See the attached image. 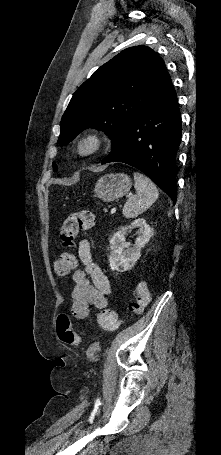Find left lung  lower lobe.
<instances>
[{"label":"left lung lower lobe","mask_w":221,"mask_h":455,"mask_svg":"<svg viewBox=\"0 0 221 455\" xmlns=\"http://www.w3.org/2000/svg\"><path fill=\"white\" fill-rule=\"evenodd\" d=\"M181 132L178 99L170 80L162 93L129 124L102 164L123 162L141 170L175 202V165Z\"/></svg>","instance_id":"0a47b994"}]
</instances>
